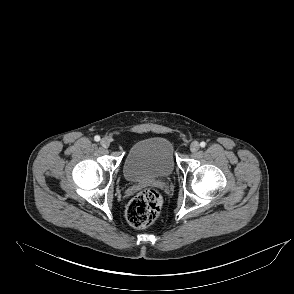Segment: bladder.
Listing matches in <instances>:
<instances>
[{"label":"bladder","instance_id":"obj_1","mask_svg":"<svg viewBox=\"0 0 294 294\" xmlns=\"http://www.w3.org/2000/svg\"><path fill=\"white\" fill-rule=\"evenodd\" d=\"M176 166L173 143L164 137L139 140L131 146L123 164L125 178L130 182L167 177Z\"/></svg>","mask_w":294,"mask_h":294}]
</instances>
